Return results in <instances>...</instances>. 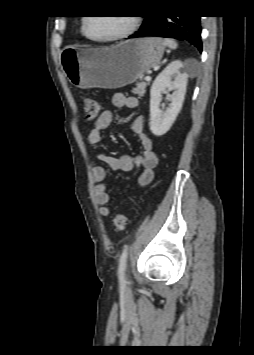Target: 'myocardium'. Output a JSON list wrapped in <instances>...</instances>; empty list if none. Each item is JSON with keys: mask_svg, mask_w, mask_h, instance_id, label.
<instances>
[{"mask_svg": "<svg viewBox=\"0 0 254 355\" xmlns=\"http://www.w3.org/2000/svg\"><path fill=\"white\" fill-rule=\"evenodd\" d=\"M89 21H90V17H86L84 19L83 25H82V32L85 35V37L93 42L107 43V42H115V41L125 39V38L129 37L131 34H133L139 26L140 18L138 15L131 16V23L125 31H123L122 33H120L118 35L108 37V38H95V37L91 36L88 31Z\"/></svg>", "mask_w": 254, "mask_h": 355, "instance_id": "1", "label": "myocardium"}]
</instances>
